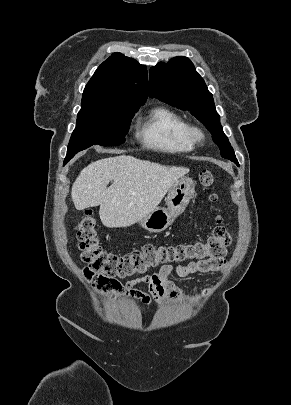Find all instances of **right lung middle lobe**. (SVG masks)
I'll use <instances>...</instances> for the list:
<instances>
[{"mask_svg":"<svg viewBox=\"0 0 291 405\" xmlns=\"http://www.w3.org/2000/svg\"><path fill=\"white\" fill-rule=\"evenodd\" d=\"M137 110L138 108L104 105L81 108L64 164L76 153L94 144L118 146L124 143L131 118Z\"/></svg>","mask_w":291,"mask_h":405,"instance_id":"1","label":"right lung middle lobe"}]
</instances>
